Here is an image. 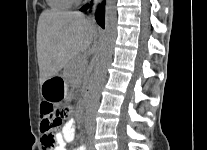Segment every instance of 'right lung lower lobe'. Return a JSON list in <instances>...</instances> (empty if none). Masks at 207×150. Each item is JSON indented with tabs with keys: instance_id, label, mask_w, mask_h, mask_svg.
Returning a JSON list of instances; mask_svg holds the SVG:
<instances>
[{
	"instance_id": "1",
	"label": "right lung lower lobe",
	"mask_w": 207,
	"mask_h": 150,
	"mask_svg": "<svg viewBox=\"0 0 207 150\" xmlns=\"http://www.w3.org/2000/svg\"><path fill=\"white\" fill-rule=\"evenodd\" d=\"M96 20H97V23L102 28H104V3L102 5H99L97 8Z\"/></svg>"
}]
</instances>
